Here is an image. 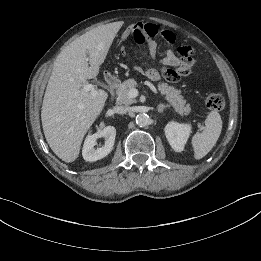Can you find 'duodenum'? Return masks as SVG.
<instances>
[{
    "mask_svg": "<svg viewBox=\"0 0 261 261\" xmlns=\"http://www.w3.org/2000/svg\"><path fill=\"white\" fill-rule=\"evenodd\" d=\"M104 79H105V82L108 86V88L113 91L114 88L116 87V85L118 84V79L115 75L111 74V73H106L104 75Z\"/></svg>",
    "mask_w": 261,
    "mask_h": 261,
    "instance_id": "obj_1",
    "label": "duodenum"
}]
</instances>
